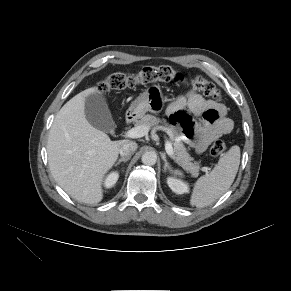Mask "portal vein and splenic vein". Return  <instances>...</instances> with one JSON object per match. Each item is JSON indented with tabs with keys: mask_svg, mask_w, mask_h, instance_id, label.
<instances>
[{
	"mask_svg": "<svg viewBox=\"0 0 291 291\" xmlns=\"http://www.w3.org/2000/svg\"><path fill=\"white\" fill-rule=\"evenodd\" d=\"M149 128L143 125L131 128L125 134L127 138H140L148 134ZM165 150L169 157H173V147L170 141H166ZM207 170V168H206Z\"/></svg>",
	"mask_w": 291,
	"mask_h": 291,
	"instance_id": "obj_1",
	"label": "portal vein and splenic vein"
}]
</instances>
